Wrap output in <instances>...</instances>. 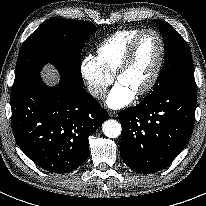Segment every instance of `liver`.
<instances>
[{
	"label": "liver",
	"instance_id": "6515ba94",
	"mask_svg": "<svg viewBox=\"0 0 206 206\" xmlns=\"http://www.w3.org/2000/svg\"><path fill=\"white\" fill-rule=\"evenodd\" d=\"M41 75L43 80L49 85L56 84L59 81V74L51 65H46L43 68Z\"/></svg>",
	"mask_w": 206,
	"mask_h": 206
}]
</instances>
